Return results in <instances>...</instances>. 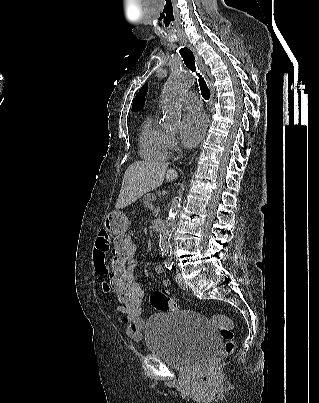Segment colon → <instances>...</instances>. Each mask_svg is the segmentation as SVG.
<instances>
[{
	"label": "colon",
	"instance_id": "5ec220e1",
	"mask_svg": "<svg viewBox=\"0 0 319 403\" xmlns=\"http://www.w3.org/2000/svg\"><path fill=\"white\" fill-rule=\"evenodd\" d=\"M114 245L117 252H112L110 269L113 272L112 297L116 304H123L124 313H145L142 291L145 282H136L134 268H138L137 249L139 241L135 234H114ZM150 304L158 312H170L178 309L177 302L169 298L163 290H155L150 295ZM225 342L220 353L209 364L203 374L204 382H209L217 369L221 358L231 355L235 350L234 334L230 328H221Z\"/></svg>",
	"mask_w": 319,
	"mask_h": 403
}]
</instances>
